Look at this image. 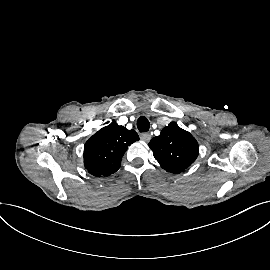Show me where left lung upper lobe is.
Returning <instances> with one entry per match:
<instances>
[{"label": "left lung upper lobe", "mask_w": 270, "mask_h": 270, "mask_svg": "<svg viewBox=\"0 0 270 270\" xmlns=\"http://www.w3.org/2000/svg\"><path fill=\"white\" fill-rule=\"evenodd\" d=\"M154 158L168 172L180 173L188 168L199 154L198 143L177 123L171 122L148 144Z\"/></svg>", "instance_id": "1"}]
</instances>
